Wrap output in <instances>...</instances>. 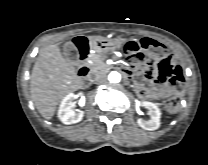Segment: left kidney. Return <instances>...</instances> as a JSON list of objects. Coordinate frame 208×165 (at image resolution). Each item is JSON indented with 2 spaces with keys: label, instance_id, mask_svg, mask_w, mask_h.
<instances>
[{
  "label": "left kidney",
  "instance_id": "5707ae66",
  "mask_svg": "<svg viewBox=\"0 0 208 165\" xmlns=\"http://www.w3.org/2000/svg\"><path fill=\"white\" fill-rule=\"evenodd\" d=\"M141 105L149 110L151 118L150 120L139 118L137 120L138 125L144 130L153 131L158 129L160 127L161 112L157 105L149 101H144Z\"/></svg>",
  "mask_w": 208,
  "mask_h": 165
}]
</instances>
